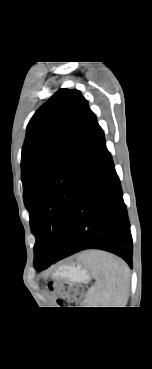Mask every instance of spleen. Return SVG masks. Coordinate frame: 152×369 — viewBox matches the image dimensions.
Wrapping results in <instances>:
<instances>
[{
  "label": "spleen",
  "instance_id": "1",
  "mask_svg": "<svg viewBox=\"0 0 152 369\" xmlns=\"http://www.w3.org/2000/svg\"><path fill=\"white\" fill-rule=\"evenodd\" d=\"M86 261L96 283L87 292L91 307H125L129 290V268L121 259L102 251L89 252Z\"/></svg>",
  "mask_w": 152,
  "mask_h": 369
}]
</instances>
